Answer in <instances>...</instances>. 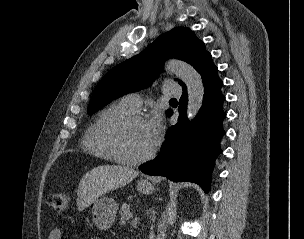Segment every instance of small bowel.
<instances>
[{
    "instance_id": "1",
    "label": "small bowel",
    "mask_w": 304,
    "mask_h": 239,
    "mask_svg": "<svg viewBox=\"0 0 304 239\" xmlns=\"http://www.w3.org/2000/svg\"><path fill=\"white\" fill-rule=\"evenodd\" d=\"M63 238V232L59 228H54L51 230L49 234V239H62ZM92 239H98L96 237H93Z\"/></svg>"
}]
</instances>
